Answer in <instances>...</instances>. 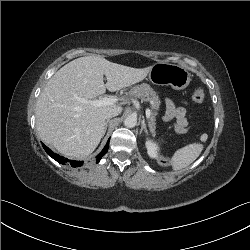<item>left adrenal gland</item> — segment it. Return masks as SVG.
Returning <instances> with one entry per match:
<instances>
[{
    "instance_id": "left-adrenal-gland-1",
    "label": "left adrenal gland",
    "mask_w": 250,
    "mask_h": 250,
    "mask_svg": "<svg viewBox=\"0 0 250 250\" xmlns=\"http://www.w3.org/2000/svg\"><path fill=\"white\" fill-rule=\"evenodd\" d=\"M142 131H144L145 133H147V132H148L147 125H146V123H145V121H144V120H142V121H141V129H140V133H141Z\"/></svg>"
}]
</instances>
